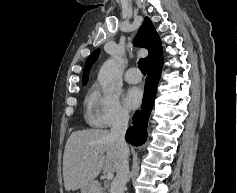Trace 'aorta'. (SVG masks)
Here are the masks:
<instances>
[{
	"instance_id": "1",
	"label": "aorta",
	"mask_w": 237,
	"mask_h": 193,
	"mask_svg": "<svg viewBox=\"0 0 237 193\" xmlns=\"http://www.w3.org/2000/svg\"><path fill=\"white\" fill-rule=\"evenodd\" d=\"M117 63L115 59L107 60L101 67L99 74H98V82L101 86L107 87L109 86L117 73Z\"/></svg>"
}]
</instances>
